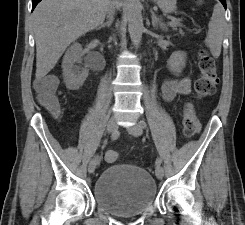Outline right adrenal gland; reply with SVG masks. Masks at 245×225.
Here are the masks:
<instances>
[{
  "instance_id": "obj_1",
  "label": "right adrenal gland",
  "mask_w": 245,
  "mask_h": 225,
  "mask_svg": "<svg viewBox=\"0 0 245 225\" xmlns=\"http://www.w3.org/2000/svg\"><path fill=\"white\" fill-rule=\"evenodd\" d=\"M112 23H113V18L111 17V18H109V20L107 21V22H105V23H102L98 28H96L97 30H99V29H101V28H104V27H111V25H112Z\"/></svg>"
}]
</instances>
